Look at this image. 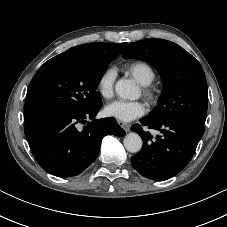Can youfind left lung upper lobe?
<instances>
[{"label": "left lung upper lobe", "mask_w": 227, "mask_h": 227, "mask_svg": "<svg viewBox=\"0 0 227 227\" xmlns=\"http://www.w3.org/2000/svg\"><path fill=\"white\" fill-rule=\"evenodd\" d=\"M123 58L146 61L161 76L163 91L159 104L146 118L155 122L185 119L204 126L207 81L200 63L190 53L171 41L149 39L131 43Z\"/></svg>", "instance_id": "left-lung-upper-lobe-1"}]
</instances>
